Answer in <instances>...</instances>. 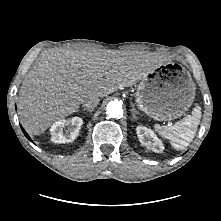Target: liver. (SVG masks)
Here are the masks:
<instances>
[{"label":"liver","mask_w":221,"mask_h":221,"mask_svg":"<svg viewBox=\"0 0 221 221\" xmlns=\"http://www.w3.org/2000/svg\"><path fill=\"white\" fill-rule=\"evenodd\" d=\"M161 64L158 56L138 51L60 49L43 56L20 89L19 115L32 134L46 131L73 114L88 95L99 97L130 87Z\"/></svg>","instance_id":"6515ba94"}]
</instances>
